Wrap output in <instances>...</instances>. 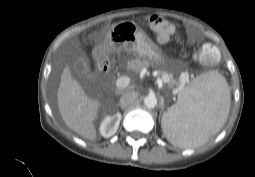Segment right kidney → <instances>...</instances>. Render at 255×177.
Instances as JSON below:
<instances>
[{
  "instance_id": "ca27d5eb",
  "label": "right kidney",
  "mask_w": 255,
  "mask_h": 177,
  "mask_svg": "<svg viewBox=\"0 0 255 177\" xmlns=\"http://www.w3.org/2000/svg\"><path fill=\"white\" fill-rule=\"evenodd\" d=\"M120 121L121 114L119 112L105 117L100 125L101 135L105 138L113 136L119 128Z\"/></svg>"
}]
</instances>
